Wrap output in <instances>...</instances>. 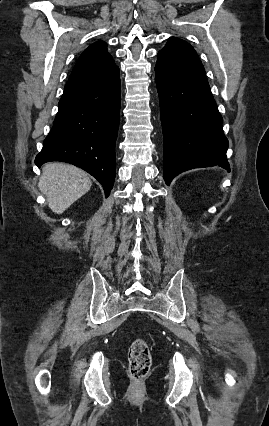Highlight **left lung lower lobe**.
Segmentation results:
<instances>
[{
    "label": "left lung lower lobe",
    "instance_id": "0a47b994",
    "mask_svg": "<svg viewBox=\"0 0 269 426\" xmlns=\"http://www.w3.org/2000/svg\"><path fill=\"white\" fill-rule=\"evenodd\" d=\"M155 74L166 184L193 168L218 165L229 171L222 116L194 48L184 40L170 37L158 52Z\"/></svg>",
    "mask_w": 269,
    "mask_h": 426
}]
</instances>
